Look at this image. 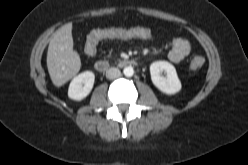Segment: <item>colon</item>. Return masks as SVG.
Masks as SVG:
<instances>
[{"label":"colon","instance_id":"5ec220e1","mask_svg":"<svg viewBox=\"0 0 248 165\" xmlns=\"http://www.w3.org/2000/svg\"><path fill=\"white\" fill-rule=\"evenodd\" d=\"M136 34L146 35L145 31H137ZM129 33L125 29L121 28H103L97 29L90 33V40L85 45V54L91 58L96 53L98 43L106 38H122L128 36ZM204 60L201 57H195L190 62V69L197 71L202 68Z\"/></svg>","mask_w":248,"mask_h":165}]
</instances>
